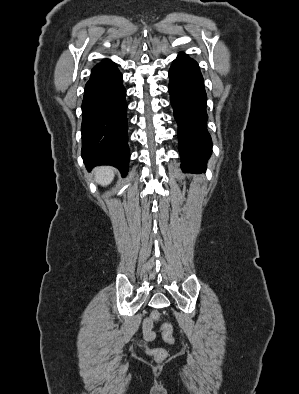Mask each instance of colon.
<instances>
[{
    "label": "colon",
    "mask_w": 299,
    "mask_h": 394,
    "mask_svg": "<svg viewBox=\"0 0 299 394\" xmlns=\"http://www.w3.org/2000/svg\"><path fill=\"white\" fill-rule=\"evenodd\" d=\"M161 317V314L159 311H153L151 313V318L155 321H158ZM161 330H162V337L163 339L169 343L173 344L174 343V338H173V329L172 326L169 323H164L161 325ZM146 352L148 355H150L156 362H162L167 358V351L164 348H159V347H147Z\"/></svg>",
    "instance_id": "1"
}]
</instances>
